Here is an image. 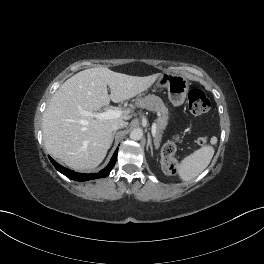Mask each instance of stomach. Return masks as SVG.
Segmentation results:
<instances>
[{
  "label": "stomach",
  "mask_w": 264,
  "mask_h": 264,
  "mask_svg": "<svg viewBox=\"0 0 264 264\" xmlns=\"http://www.w3.org/2000/svg\"><path fill=\"white\" fill-rule=\"evenodd\" d=\"M158 87H166L168 98L174 106L184 103L189 91L187 79L179 74L161 73L156 82Z\"/></svg>",
  "instance_id": "0dacf381"
}]
</instances>
